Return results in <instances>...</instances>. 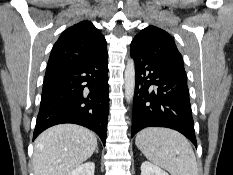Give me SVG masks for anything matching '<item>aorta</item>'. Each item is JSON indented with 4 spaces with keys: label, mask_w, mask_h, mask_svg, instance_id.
I'll use <instances>...</instances> for the list:
<instances>
[{
    "label": "aorta",
    "mask_w": 233,
    "mask_h": 175,
    "mask_svg": "<svg viewBox=\"0 0 233 175\" xmlns=\"http://www.w3.org/2000/svg\"><path fill=\"white\" fill-rule=\"evenodd\" d=\"M124 90L127 102H131L135 91V64L132 59L127 61L124 73Z\"/></svg>",
    "instance_id": "1"
}]
</instances>
